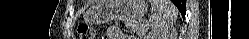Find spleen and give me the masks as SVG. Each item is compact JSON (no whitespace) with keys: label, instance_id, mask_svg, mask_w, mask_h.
I'll return each instance as SVG.
<instances>
[{"label":"spleen","instance_id":"spleen-1","mask_svg":"<svg viewBox=\"0 0 249 39\" xmlns=\"http://www.w3.org/2000/svg\"><path fill=\"white\" fill-rule=\"evenodd\" d=\"M154 14L151 18L153 31L156 33L166 32L177 20L178 10L170 0H152Z\"/></svg>","mask_w":249,"mask_h":39}]
</instances>
